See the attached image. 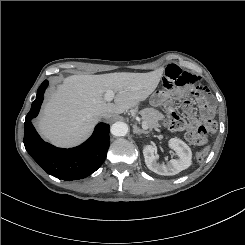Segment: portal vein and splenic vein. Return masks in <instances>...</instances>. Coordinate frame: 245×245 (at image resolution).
<instances>
[{"label": "portal vein and splenic vein", "mask_w": 245, "mask_h": 245, "mask_svg": "<svg viewBox=\"0 0 245 245\" xmlns=\"http://www.w3.org/2000/svg\"><path fill=\"white\" fill-rule=\"evenodd\" d=\"M114 95H115L114 91L108 90L105 93V100L108 101V102L112 101L113 98H114ZM137 121H139V122L141 121L139 117H137ZM142 128L145 129V130L148 129V126H147V124L145 122H142Z\"/></svg>", "instance_id": "obj_1"}]
</instances>
